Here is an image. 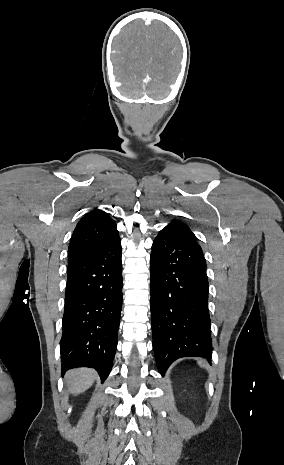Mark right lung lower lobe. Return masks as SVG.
I'll use <instances>...</instances> for the list:
<instances>
[{"label":"right lung lower lobe","mask_w":284,"mask_h":465,"mask_svg":"<svg viewBox=\"0 0 284 465\" xmlns=\"http://www.w3.org/2000/svg\"><path fill=\"white\" fill-rule=\"evenodd\" d=\"M67 275L60 341L62 375L71 368L91 367L104 380L112 368L122 309L120 237L69 265Z\"/></svg>","instance_id":"right-lung-lower-lobe-1"}]
</instances>
